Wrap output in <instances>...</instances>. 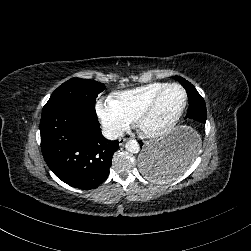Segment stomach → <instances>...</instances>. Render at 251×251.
Returning <instances> with one entry per match:
<instances>
[{
  "label": "stomach",
  "mask_w": 251,
  "mask_h": 251,
  "mask_svg": "<svg viewBox=\"0 0 251 251\" xmlns=\"http://www.w3.org/2000/svg\"><path fill=\"white\" fill-rule=\"evenodd\" d=\"M199 133L191 126L178 125L174 131L160 139L150 140L145 143L139 157L142 172H148L154 168L169 169L181 168V158L186 153L193 151V147L199 140ZM198 154L195 153L193 158Z\"/></svg>",
  "instance_id": "obj_1"
}]
</instances>
